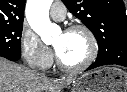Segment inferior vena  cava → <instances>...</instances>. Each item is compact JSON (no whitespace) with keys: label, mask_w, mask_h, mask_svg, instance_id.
<instances>
[{"label":"inferior vena cava","mask_w":127,"mask_h":92,"mask_svg":"<svg viewBox=\"0 0 127 92\" xmlns=\"http://www.w3.org/2000/svg\"><path fill=\"white\" fill-rule=\"evenodd\" d=\"M39 74H40V76H45L44 73H39Z\"/></svg>","instance_id":"inferior-vena-cava-1"}]
</instances>
